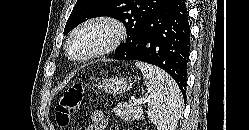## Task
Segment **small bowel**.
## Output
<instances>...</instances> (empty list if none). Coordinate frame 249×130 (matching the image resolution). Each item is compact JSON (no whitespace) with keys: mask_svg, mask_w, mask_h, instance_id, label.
I'll return each instance as SVG.
<instances>
[{"mask_svg":"<svg viewBox=\"0 0 249 130\" xmlns=\"http://www.w3.org/2000/svg\"><path fill=\"white\" fill-rule=\"evenodd\" d=\"M107 127V117L101 111H94L91 115V121L86 130H105Z\"/></svg>","mask_w":249,"mask_h":130,"instance_id":"1","label":"small bowel"}]
</instances>
